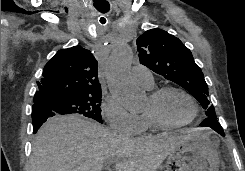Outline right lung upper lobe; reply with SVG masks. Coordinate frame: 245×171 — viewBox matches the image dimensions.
Wrapping results in <instances>:
<instances>
[{"label":"right lung upper lobe","instance_id":"obj_1","mask_svg":"<svg viewBox=\"0 0 245 171\" xmlns=\"http://www.w3.org/2000/svg\"><path fill=\"white\" fill-rule=\"evenodd\" d=\"M43 78L33 102H42L55 95L75 96L101 93L97 77V61L93 54L74 46L59 50L44 67Z\"/></svg>","mask_w":245,"mask_h":171}]
</instances>
